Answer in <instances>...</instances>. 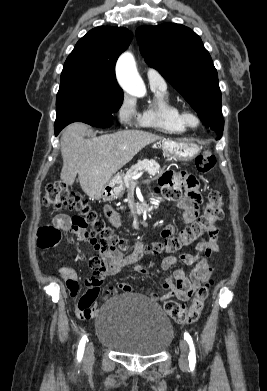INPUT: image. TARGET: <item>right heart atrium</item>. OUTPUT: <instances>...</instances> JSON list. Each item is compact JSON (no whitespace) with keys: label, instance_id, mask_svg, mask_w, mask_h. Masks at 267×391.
I'll return each instance as SVG.
<instances>
[{"label":"right heart atrium","instance_id":"d8ad5b80","mask_svg":"<svg viewBox=\"0 0 267 391\" xmlns=\"http://www.w3.org/2000/svg\"><path fill=\"white\" fill-rule=\"evenodd\" d=\"M120 124H127L136 116V107L132 99L124 97L116 110Z\"/></svg>","mask_w":267,"mask_h":391}]
</instances>
